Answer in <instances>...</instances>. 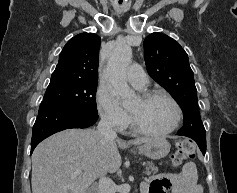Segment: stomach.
<instances>
[{"label": "stomach", "mask_w": 237, "mask_h": 193, "mask_svg": "<svg viewBox=\"0 0 237 193\" xmlns=\"http://www.w3.org/2000/svg\"><path fill=\"white\" fill-rule=\"evenodd\" d=\"M171 145L162 137L151 138L149 141L137 147L141 154L146 157L159 160L167 156L170 152Z\"/></svg>", "instance_id": "0dacf381"}]
</instances>
